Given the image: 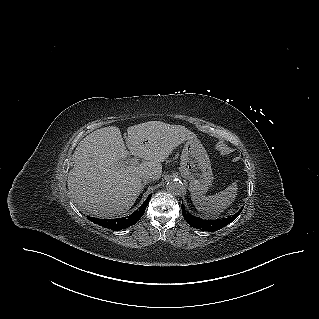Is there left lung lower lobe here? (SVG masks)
Segmentation results:
<instances>
[{"label": "left lung lower lobe", "mask_w": 319, "mask_h": 319, "mask_svg": "<svg viewBox=\"0 0 319 319\" xmlns=\"http://www.w3.org/2000/svg\"><path fill=\"white\" fill-rule=\"evenodd\" d=\"M181 208L183 212V217L187 221V223L192 227L200 229L202 231H217L225 227L226 225L230 224L233 220H235L243 209L241 208L236 214L229 216L227 218H221L216 220H203L191 215L188 211H186L183 203Z\"/></svg>", "instance_id": "1"}]
</instances>
